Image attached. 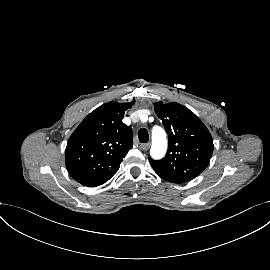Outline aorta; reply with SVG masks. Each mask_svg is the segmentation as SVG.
Masks as SVG:
<instances>
[{
  "label": "aorta",
  "instance_id": "1",
  "mask_svg": "<svg viewBox=\"0 0 270 270\" xmlns=\"http://www.w3.org/2000/svg\"><path fill=\"white\" fill-rule=\"evenodd\" d=\"M167 149V139L165 132L160 127H155L152 131V147L150 154L154 159H161Z\"/></svg>",
  "mask_w": 270,
  "mask_h": 270
}]
</instances>
